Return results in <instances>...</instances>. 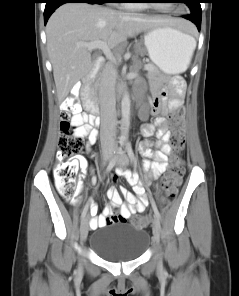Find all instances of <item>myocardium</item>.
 <instances>
[{
  "label": "myocardium",
  "instance_id": "myocardium-1",
  "mask_svg": "<svg viewBox=\"0 0 239 296\" xmlns=\"http://www.w3.org/2000/svg\"><path fill=\"white\" fill-rule=\"evenodd\" d=\"M148 1H151V0H148ZM145 5L150 7V8L157 9V10H162V11L169 10L168 8H162L161 6H159V5L155 4V3L148 2Z\"/></svg>",
  "mask_w": 239,
  "mask_h": 296
}]
</instances>
